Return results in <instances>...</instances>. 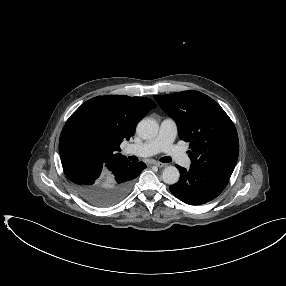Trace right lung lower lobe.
Listing matches in <instances>:
<instances>
[{
  "label": "right lung lower lobe",
  "mask_w": 286,
  "mask_h": 286,
  "mask_svg": "<svg viewBox=\"0 0 286 286\" xmlns=\"http://www.w3.org/2000/svg\"><path fill=\"white\" fill-rule=\"evenodd\" d=\"M59 152L67 178L76 193L97 207H109L122 200L130 191L133 179L146 164L127 159L108 161L93 143L74 129H63Z\"/></svg>",
  "instance_id": "right-lung-lower-lobe-1"
}]
</instances>
